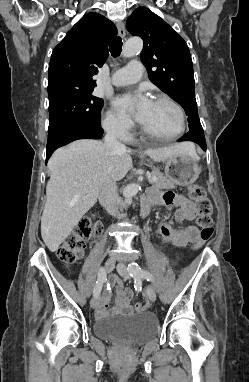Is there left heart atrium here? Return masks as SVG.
I'll list each match as a JSON object with an SVG mask.
<instances>
[{
  "mask_svg": "<svg viewBox=\"0 0 249 382\" xmlns=\"http://www.w3.org/2000/svg\"><path fill=\"white\" fill-rule=\"evenodd\" d=\"M116 108L124 114H132L142 122L151 107L152 101L142 93L125 94L116 98Z\"/></svg>",
  "mask_w": 249,
  "mask_h": 382,
  "instance_id": "39dd6f15",
  "label": "left heart atrium"
}]
</instances>
